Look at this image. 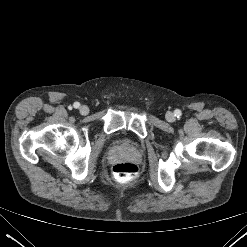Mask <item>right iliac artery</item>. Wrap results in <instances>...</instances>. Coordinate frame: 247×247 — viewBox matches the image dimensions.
I'll list each match as a JSON object with an SVG mask.
<instances>
[{
  "label": "right iliac artery",
  "mask_w": 247,
  "mask_h": 247,
  "mask_svg": "<svg viewBox=\"0 0 247 247\" xmlns=\"http://www.w3.org/2000/svg\"><path fill=\"white\" fill-rule=\"evenodd\" d=\"M73 106H74V108H79L80 104H79V102H75V103L73 104Z\"/></svg>",
  "instance_id": "obj_1"
}]
</instances>
